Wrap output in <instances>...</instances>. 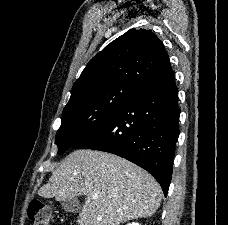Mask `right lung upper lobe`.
<instances>
[{"label": "right lung upper lobe", "instance_id": "cb5924a9", "mask_svg": "<svg viewBox=\"0 0 228 225\" xmlns=\"http://www.w3.org/2000/svg\"><path fill=\"white\" fill-rule=\"evenodd\" d=\"M168 64L167 51L152 31L130 29L90 60L74 83L69 102L91 88L110 83L139 88Z\"/></svg>", "mask_w": 228, "mask_h": 225}]
</instances>
